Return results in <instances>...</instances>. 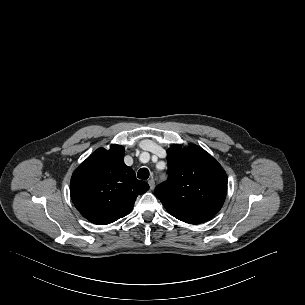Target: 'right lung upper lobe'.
I'll use <instances>...</instances> for the list:
<instances>
[{"instance_id": "cb5924a9", "label": "right lung upper lobe", "mask_w": 305, "mask_h": 305, "mask_svg": "<svg viewBox=\"0 0 305 305\" xmlns=\"http://www.w3.org/2000/svg\"><path fill=\"white\" fill-rule=\"evenodd\" d=\"M124 148H99L74 171L70 182L71 199L83 217L106 225L126 216L138 195L149 185L138 180L124 161Z\"/></svg>"}]
</instances>
